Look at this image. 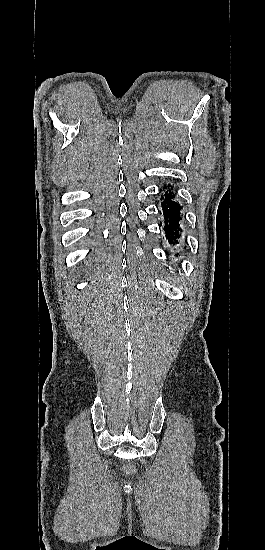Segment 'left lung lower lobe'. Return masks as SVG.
<instances>
[{"mask_svg": "<svg viewBox=\"0 0 265 550\" xmlns=\"http://www.w3.org/2000/svg\"><path fill=\"white\" fill-rule=\"evenodd\" d=\"M174 195L171 191L165 193V198L163 201V214L165 217V226L164 230L166 233V239L169 244L178 243L177 238L179 237V220H180V210L181 207L179 203L173 200ZM163 199V197H161Z\"/></svg>", "mask_w": 265, "mask_h": 550, "instance_id": "obj_1", "label": "left lung lower lobe"}]
</instances>
